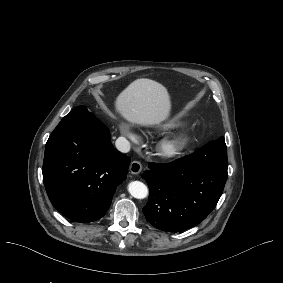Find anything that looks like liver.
Returning <instances> with one entry per match:
<instances>
[{
  "label": "liver",
  "instance_id": "6515ba94",
  "mask_svg": "<svg viewBox=\"0 0 283 283\" xmlns=\"http://www.w3.org/2000/svg\"><path fill=\"white\" fill-rule=\"evenodd\" d=\"M113 111L130 125L159 127L173 111L168 88L157 80L141 77L130 82L112 101Z\"/></svg>",
  "mask_w": 283,
  "mask_h": 283
}]
</instances>
